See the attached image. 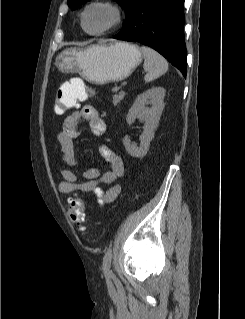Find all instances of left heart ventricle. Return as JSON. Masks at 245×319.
<instances>
[{
  "label": "left heart ventricle",
  "instance_id": "b2bd125f",
  "mask_svg": "<svg viewBox=\"0 0 245 319\" xmlns=\"http://www.w3.org/2000/svg\"><path fill=\"white\" fill-rule=\"evenodd\" d=\"M112 20V14L105 8H94L86 16V27L90 31H97L106 27Z\"/></svg>",
  "mask_w": 245,
  "mask_h": 319
}]
</instances>
